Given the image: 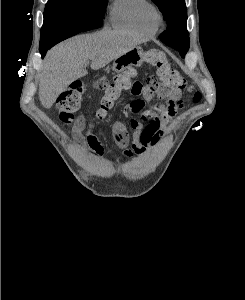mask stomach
<instances>
[{"label": "stomach", "instance_id": "0dacf381", "mask_svg": "<svg viewBox=\"0 0 245 300\" xmlns=\"http://www.w3.org/2000/svg\"><path fill=\"white\" fill-rule=\"evenodd\" d=\"M142 63L143 50L140 47H134L133 49L114 59L112 70L115 72H122L131 66H141Z\"/></svg>", "mask_w": 245, "mask_h": 300}]
</instances>
